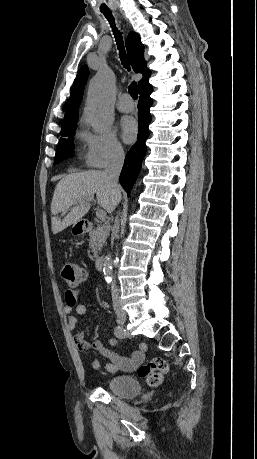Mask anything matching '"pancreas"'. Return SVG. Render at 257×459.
<instances>
[{"label":"pancreas","instance_id":"obj_1","mask_svg":"<svg viewBox=\"0 0 257 459\" xmlns=\"http://www.w3.org/2000/svg\"><path fill=\"white\" fill-rule=\"evenodd\" d=\"M110 225H99L90 234L89 247L93 252L94 256L98 255L101 251L102 246L105 244L107 237L110 232Z\"/></svg>","mask_w":257,"mask_h":459}]
</instances>
